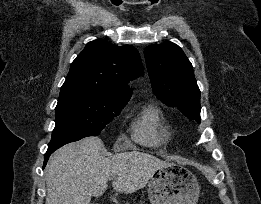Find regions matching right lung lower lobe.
Here are the masks:
<instances>
[{"instance_id": "obj_1", "label": "right lung lower lobe", "mask_w": 261, "mask_h": 204, "mask_svg": "<svg viewBox=\"0 0 261 204\" xmlns=\"http://www.w3.org/2000/svg\"><path fill=\"white\" fill-rule=\"evenodd\" d=\"M58 148H59L58 146H56V147H48V150H47V152L45 153V156H44V166H43V168L45 167V165H46V163L48 161L49 156Z\"/></svg>"}]
</instances>
